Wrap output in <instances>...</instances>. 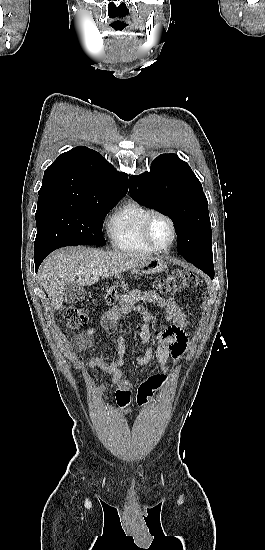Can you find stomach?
I'll return each instance as SVG.
<instances>
[{
	"instance_id": "stomach-1",
	"label": "stomach",
	"mask_w": 265,
	"mask_h": 550,
	"mask_svg": "<svg viewBox=\"0 0 265 550\" xmlns=\"http://www.w3.org/2000/svg\"><path fill=\"white\" fill-rule=\"evenodd\" d=\"M167 262L160 256H151L142 261L132 272L136 275L155 274L164 271L167 268Z\"/></svg>"
}]
</instances>
